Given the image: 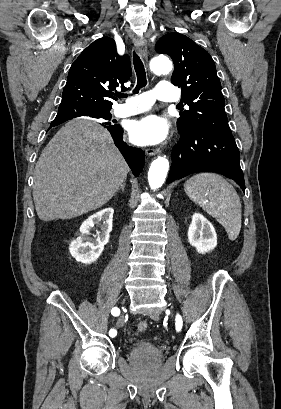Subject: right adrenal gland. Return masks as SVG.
I'll use <instances>...</instances> for the list:
<instances>
[{
    "label": "right adrenal gland",
    "instance_id": "1",
    "mask_svg": "<svg viewBox=\"0 0 281 409\" xmlns=\"http://www.w3.org/2000/svg\"><path fill=\"white\" fill-rule=\"evenodd\" d=\"M125 184H126V180H123V182H121L119 188H117L116 192H118V190H124Z\"/></svg>",
    "mask_w": 281,
    "mask_h": 409
}]
</instances>
